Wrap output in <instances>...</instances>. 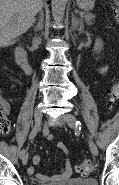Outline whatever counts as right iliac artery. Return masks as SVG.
Instances as JSON below:
<instances>
[{"mask_svg": "<svg viewBox=\"0 0 119 185\" xmlns=\"http://www.w3.org/2000/svg\"><path fill=\"white\" fill-rule=\"evenodd\" d=\"M36 134H37V131L33 129V130L30 132V134H29V140L32 141V140L35 138ZM24 154H25V149H22V150L20 151V153H19V156L22 158V156H23Z\"/></svg>", "mask_w": 119, "mask_h": 185, "instance_id": "obj_1", "label": "right iliac artery"}]
</instances>
